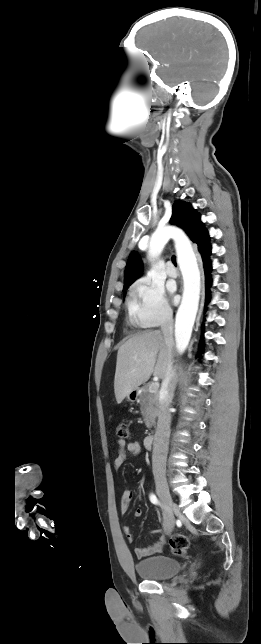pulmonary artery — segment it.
<instances>
[{
    "label": "pulmonary artery",
    "mask_w": 261,
    "mask_h": 644,
    "mask_svg": "<svg viewBox=\"0 0 261 644\" xmlns=\"http://www.w3.org/2000/svg\"><path fill=\"white\" fill-rule=\"evenodd\" d=\"M166 272H167L168 276H170V277H177V275H178V272H177L176 268L171 263L168 264Z\"/></svg>",
    "instance_id": "obj_1"
}]
</instances>
